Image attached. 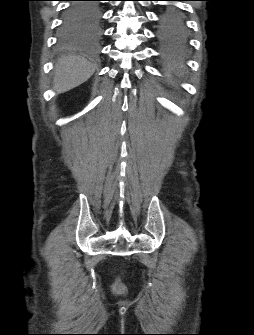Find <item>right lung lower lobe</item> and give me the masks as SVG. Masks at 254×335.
I'll return each instance as SVG.
<instances>
[{"instance_id": "98d812e1", "label": "right lung lower lobe", "mask_w": 254, "mask_h": 335, "mask_svg": "<svg viewBox=\"0 0 254 335\" xmlns=\"http://www.w3.org/2000/svg\"><path fill=\"white\" fill-rule=\"evenodd\" d=\"M88 2L94 1L84 0L71 3L64 16L63 25L68 26L79 21L82 29H92L99 22L100 10L89 7ZM71 14H75V16L73 17Z\"/></svg>"}]
</instances>
